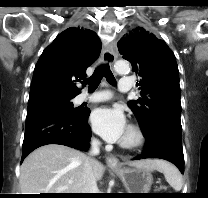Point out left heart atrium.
<instances>
[{
  "instance_id": "left-heart-atrium-1",
  "label": "left heart atrium",
  "mask_w": 208,
  "mask_h": 198,
  "mask_svg": "<svg viewBox=\"0 0 208 198\" xmlns=\"http://www.w3.org/2000/svg\"><path fill=\"white\" fill-rule=\"evenodd\" d=\"M93 130L108 142L122 140L128 129L126 117L119 107H100L90 116Z\"/></svg>"
}]
</instances>
